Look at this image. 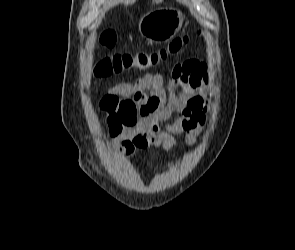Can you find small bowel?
Wrapping results in <instances>:
<instances>
[{
	"label": "small bowel",
	"mask_w": 295,
	"mask_h": 250,
	"mask_svg": "<svg viewBox=\"0 0 295 250\" xmlns=\"http://www.w3.org/2000/svg\"><path fill=\"white\" fill-rule=\"evenodd\" d=\"M170 75L167 91L160 73H148L109 89L107 95L132 99L142 110L137 125L114 138L115 151L131 154L149 146L170 151L177 145L175 136L182 133L187 144L196 143L209 110L207 65L196 59L175 63Z\"/></svg>",
	"instance_id": "small-bowel-1"
}]
</instances>
